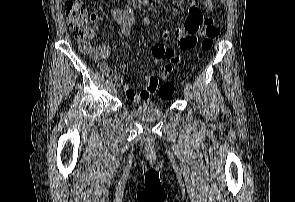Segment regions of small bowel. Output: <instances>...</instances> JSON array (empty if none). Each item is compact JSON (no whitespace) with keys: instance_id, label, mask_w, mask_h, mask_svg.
I'll use <instances>...</instances> for the list:
<instances>
[{"instance_id":"1","label":"small bowel","mask_w":295,"mask_h":202,"mask_svg":"<svg viewBox=\"0 0 295 202\" xmlns=\"http://www.w3.org/2000/svg\"><path fill=\"white\" fill-rule=\"evenodd\" d=\"M204 8L207 12H213L215 9L212 0H204ZM111 16L115 22L121 26V31L124 36L131 34L133 26L137 23L132 12L127 9L113 8ZM90 18L93 22L98 21V13L92 12ZM208 23L214 24L212 16H204L200 6L197 3H193L189 8V15L183 27H177L172 30H166L163 33V40L170 42L172 46H167L165 42L161 43H150L152 62L154 64H160L165 62V66L160 71V77L165 79L169 76L173 67L179 63L180 58L177 55L174 47H178L182 50H190L196 44L197 33L202 27H206ZM139 24L143 27L146 24V18H142ZM92 49V51H88ZM84 52H90L92 56L97 59H105L111 55V49L108 46H89L83 50ZM122 68H127V63L122 64ZM105 73L117 84L122 85V89L126 96L134 103H141L150 99L156 90H147V87L140 91H133L130 86L123 82V77L113 72L110 68H103ZM155 75H146L145 79H152Z\"/></svg>"}]
</instances>
